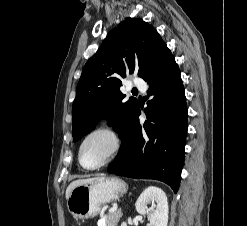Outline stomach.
<instances>
[{
    "mask_svg": "<svg viewBox=\"0 0 247 226\" xmlns=\"http://www.w3.org/2000/svg\"><path fill=\"white\" fill-rule=\"evenodd\" d=\"M126 191L125 182L117 177H96L71 191L67 207L76 220L93 218L104 204L116 201Z\"/></svg>",
    "mask_w": 247,
    "mask_h": 226,
    "instance_id": "1",
    "label": "stomach"
}]
</instances>
